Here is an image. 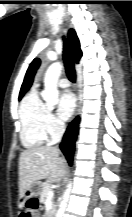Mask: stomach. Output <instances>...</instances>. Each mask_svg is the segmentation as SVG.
<instances>
[{"label": "stomach", "mask_w": 132, "mask_h": 217, "mask_svg": "<svg viewBox=\"0 0 132 217\" xmlns=\"http://www.w3.org/2000/svg\"><path fill=\"white\" fill-rule=\"evenodd\" d=\"M41 187L42 186H41L40 182H38V181L31 184V186L27 189V191L25 192V194L23 196L24 201L29 199V198L39 196V194L41 193Z\"/></svg>", "instance_id": "obj_1"}]
</instances>
